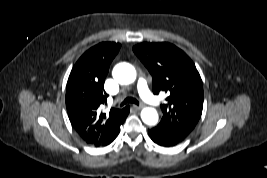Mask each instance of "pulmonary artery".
Returning a JSON list of instances; mask_svg holds the SVG:
<instances>
[{
	"label": "pulmonary artery",
	"instance_id": "e3ab8cb5",
	"mask_svg": "<svg viewBox=\"0 0 267 178\" xmlns=\"http://www.w3.org/2000/svg\"><path fill=\"white\" fill-rule=\"evenodd\" d=\"M137 90L140 94V96L149 104L154 105V106H158L161 103V100L154 96L151 91L148 88L147 82L145 81L144 78L140 77L137 80V84H136Z\"/></svg>",
	"mask_w": 267,
	"mask_h": 178
}]
</instances>
